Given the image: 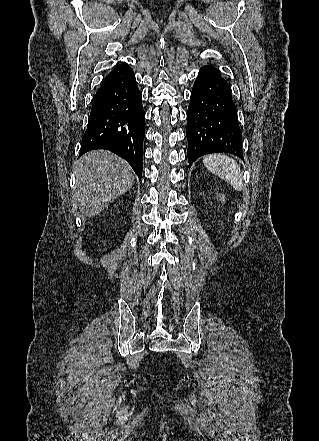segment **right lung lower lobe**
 <instances>
[{
    "label": "right lung lower lobe",
    "mask_w": 319,
    "mask_h": 441,
    "mask_svg": "<svg viewBox=\"0 0 319 441\" xmlns=\"http://www.w3.org/2000/svg\"><path fill=\"white\" fill-rule=\"evenodd\" d=\"M145 113L133 70L126 63L115 67L92 99L80 154L106 149L125 159L142 177Z\"/></svg>",
    "instance_id": "obj_1"
}]
</instances>
